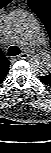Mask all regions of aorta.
Returning a JSON list of instances; mask_svg holds the SVG:
<instances>
[{
	"label": "aorta",
	"mask_w": 51,
	"mask_h": 153,
	"mask_svg": "<svg viewBox=\"0 0 51 153\" xmlns=\"http://www.w3.org/2000/svg\"><path fill=\"white\" fill-rule=\"evenodd\" d=\"M5 29L14 42L24 46H40L45 42V33L40 23L22 9H15L9 14ZM30 64L37 75L45 76L51 72V58L47 52L33 55Z\"/></svg>",
	"instance_id": "1"
}]
</instances>
